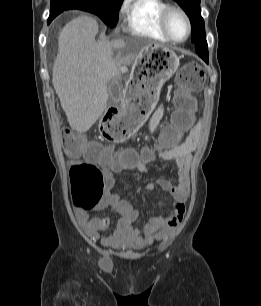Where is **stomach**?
Wrapping results in <instances>:
<instances>
[{
  "label": "stomach",
  "mask_w": 261,
  "mask_h": 306,
  "mask_svg": "<svg viewBox=\"0 0 261 306\" xmlns=\"http://www.w3.org/2000/svg\"><path fill=\"white\" fill-rule=\"evenodd\" d=\"M179 56L164 46L145 48L135 60V74L127 85L119 118L127 125V134L136 133L158 102L160 91L177 71Z\"/></svg>",
  "instance_id": "stomach-1"
}]
</instances>
